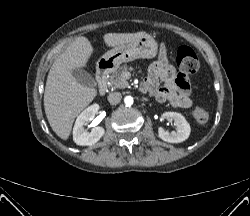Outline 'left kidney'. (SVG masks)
<instances>
[{
	"mask_svg": "<svg viewBox=\"0 0 250 216\" xmlns=\"http://www.w3.org/2000/svg\"><path fill=\"white\" fill-rule=\"evenodd\" d=\"M164 118L174 120L176 125V131L169 133L168 131H165L163 128L160 127L158 130V136L160 139L169 143H181L188 139L191 132V128L183 115L177 112H165L162 115L161 119Z\"/></svg>",
	"mask_w": 250,
	"mask_h": 216,
	"instance_id": "1",
	"label": "left kidney"
}]
</instances>
